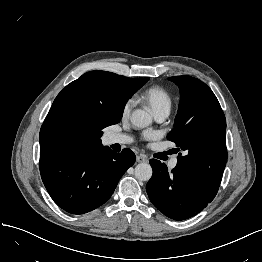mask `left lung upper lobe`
Masks as SVG:
<instances>
[{"label":"left lung upper lobe","mask_w":262,"mask_h":262,"mask_svg":"<svg viewBox=\"0 0 262 262\" xmlns=\"http://www.w3.org/2000/svg\"><path fill=\"white\" fill-rule=\"evenodd\" d=\"M180 88L181 99L174 128L167 139L175 142L178 156L176 169L202 196L213 200L227 160L226 119L211 89L190 76L169 78Z\"/></svg>","instance_id":"obj_1"}]
</instances>
